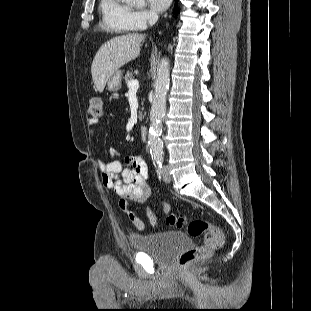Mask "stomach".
<instances>
[{"instance_id": "stomach-1", "label": "stomach", "mask_w": 311, "mask_h": 311, "mask_svg": "<svg viewBox=\"0 0 311 311\" xmlns=\"http://www.w3.org/2000/svg\"><path fill=\"white\" fill-rule=\"evenodd\" d=\"M107 88L110 91H118L121 88V71H116L107 81Z\"/></svg>"}]
</instances>
